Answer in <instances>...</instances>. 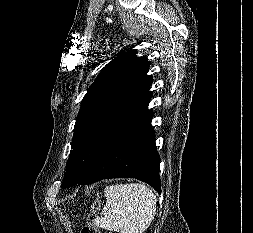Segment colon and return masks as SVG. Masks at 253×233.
Listing matches in <instances>:
<instances>
[{
  "instance_id": "obj_1",
  "label": "colon",
  "mask_w": 253,
  "mask_h": 233,
  "mask_svg": "<svg viewBox=\"0 0 253 233\" xmlns=\"http://www.w3.org/2000/svg\"><path fill=\"white\" fill-rule=\"evenodd\" d=\"M100 208L99 202H94L91 208L90 213L88 214L86 224L81 229L80 233H100L97 227L95 226V219L97 216V211Z\"/></svg>"
}]
</instances>
